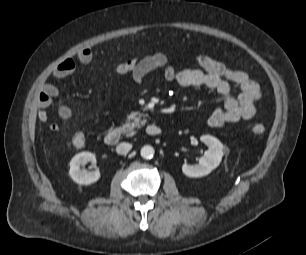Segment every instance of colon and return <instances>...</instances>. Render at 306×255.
Returning a JSON list of instances; mask_svg holds the SVG:
<instances>
[{"label":"colon","mask_w":306,"mask_h":255,"mask_svg":"<svg viewBox=\"0 0 306 255\" xmlns=\"http://www.w3.org/2000/svg\"><path fill=\"white\" fill-rule=\"evenodd\" d=\"M134 61L135 59H129V60L122 61L118 65L117 70L120 73H129L133 67ZM251 132L255 137H260L264 134L265 127L262 124H255L252 127ZM85 142H86V136L83 132H77L74 134L72 138V144L74 147L81 148L85 145Z\"/></svg>","instance_id":"5ec220e1"}]
</instances>
